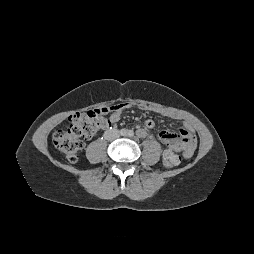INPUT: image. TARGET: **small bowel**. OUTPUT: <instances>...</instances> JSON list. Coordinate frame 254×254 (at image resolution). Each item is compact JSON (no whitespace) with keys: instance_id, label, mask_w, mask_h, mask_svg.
I'll use <instances>...</instances> for the list:
<instances>
[{"instance_id":"small-bowel-1","label":"small bowel","mask_w":254,"mask_h":254,"mask_svg":"<svg viewBox=\"0 0 254 254\" xmlns=\"http://www.w3.org/2000/svg\"><path fill=\"white\" fill-rule=\"evenodd\" d=\"M130 106L131 104L129 103H121L108 107L107 114L110 115L104 119V124L100 127V129L109 128L113 124L117 123L120 119L121 112ZM154 111L167 118H180L178 114L168 110L154 109ZM144 126L147 129H152L155 126V122L154 120L148 118L144 121ZM159 139L163 144L167 145V149L163 154V160L167 155L175 153H181V156L185 159L190 158L196 148V136L191 125L187 122L184 123V126L180 128L177 133L169 130L161 131Z\"/></svg>"}]
</instances>
